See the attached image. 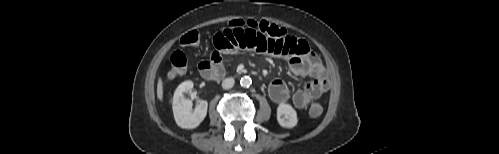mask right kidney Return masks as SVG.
<instances>
[{"instance_id":"obj_1","label":"right kidney","mask_w":499,"mask_h":154,"mask_svg":"<svg viewBox=\"0 0 499 154\" xmlns=\"http://www.w3.org/2000/svg\"><path fill=\"white\" fill-rule=\"evenodd\" d=\"M192 81L181 83L173 96V114L177 125L185 129H193L200 125L207 114L208 102L201 100L192 112V101L184 98L185 92L193 89Z\"/></svg>"}]
</instances>
